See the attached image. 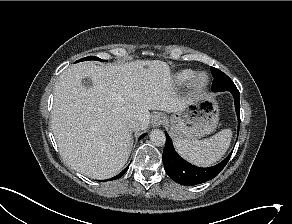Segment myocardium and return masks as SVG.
<instances>
[{
  "mask_svg": "<svg viewBox=\"0 0 292 224\" xmlns=\"http://www.w3.org/2000/svg\"><path fill=\"white\" fill-rule=\"evenodd\" d=\"M209 83V76L206 73H199L191 81V88L194 91L203 90Z\"/></svg>",
  "mask_w": 292,
  "mask_h": 224,
  "instance_id": "obj_1",
  "label": "myocardium"
}]
</instances>
